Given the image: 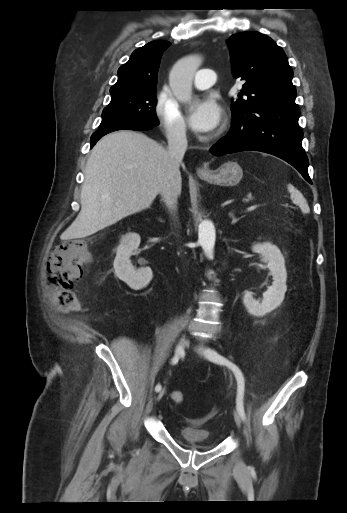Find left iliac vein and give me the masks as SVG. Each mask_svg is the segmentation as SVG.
<instances>
[{"mask_svg":"<svg viewBox=\"0 0 347 513\" xmlns=\"http://www.w3.org/2000/svg\"><path fill=\"white\" fill-rule=\"evenodd\" d=\"M197 352L200 354V355H204V347L203 345L199 344L197 346ZM234 420H235V423L238 427L241 426V416L240 414L238 413L237 410L234 411ZM245 467V464L243 463V461H239L237 463V470H242L243 468Z\"/></svg>","mask_w":347,"mask_h":513,"instance_id":"obj_1","label":"left iliac vein"}]
</instances>
